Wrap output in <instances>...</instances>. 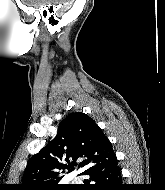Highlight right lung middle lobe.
Segmentation results:
<instances>
[{
	"label": "right lung middle lobe",
	"mask_w": 165,
	"mask_h": 190,
	"mask_svg": "<svg viewBox=\"0 0 165 190\" xmlns=\"http://www.w3.org/2000/svg\"><path fill=\"white\" fill-rule=\"evenodd\" d=\"M73 188H74V187L71 185V186H69V187H68V186H67V187H66V186H65V187H60V188H57V189H55V190H73Z\"/></svg>",
	"instance_id": "dd1d6c3e"
}]
</instances>
